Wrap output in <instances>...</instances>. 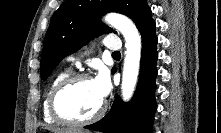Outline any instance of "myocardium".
I'll list each match as a JSON object with an SVG mask.
<instances>
[{
	"label": "myocardium",
	"mask_w": 221,
	"mask_h": 133,
	"mask_svg": "<svg viewBox=\"0 0 221 133\" xmlns=\"http://www.w3.org/2000/svg\"><path fill=\"white\" fill-rule=\"evenodd\" d=\"M83 80H92V77L86 73H75L70 74L66 78L62 79L60 82L56 84V86L53 88V90L50 93L49 100H48V107L49 112L51 116L57 120L59 123L70 125V126H84L87 124H90L94 121H97L100 119L107 108L106 102L102 101L101 105L97 109L95 113H93L91 116L84 118V119H73L70 117L65 116L61 113V111L58 108L57 101L59 96L63 91H65L67 88L72 86L75 83H78Z\"/></svg>",
	"instance_id": "f54148a6"
}]
</instances>
